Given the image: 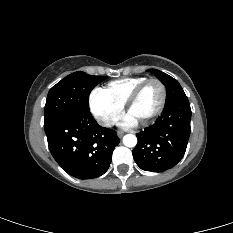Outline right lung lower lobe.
I'll return each instance as SVG.
<instances>
[{
    "label": "right lung lower lobe",
    "instance_id": "obj_1",
    "mask_svg": "<svg viewBox=\"0 0 233 233\" xmlns=\"http://www.w3.org/2000/svg\"><path fill=\"white\" fill-rule=\"evenodd\" d=\"M44 128L54 159L80 179L103 175L120 142L116 132L98 125L90 111L66 113L44 123Z\"/></svg>",
    "mask_w": 233,
    "mask_h": 233
}]
</instances>
